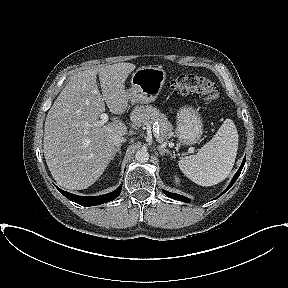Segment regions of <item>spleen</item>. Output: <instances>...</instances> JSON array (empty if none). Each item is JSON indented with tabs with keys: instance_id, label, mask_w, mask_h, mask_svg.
<instances>
[{
	"instance_id": "spleen-1",
	"label": "spleen",
	"mask_w": 288,
	"mask_h": 288,
	"mask_svg": "<svg viewBox=\"0 0 288 288\" xmlns=\"http://www.w3.org/2000/svg\"><path fill=\"white\" fill-rule=\"evenodd\" d=\"M238 149V132L231 119H226L214 137L197 154L179 160L180 170L201 186L223 181L231 172Z\"/></svg>"
}]
</instances>
